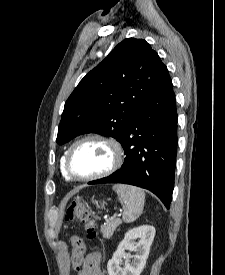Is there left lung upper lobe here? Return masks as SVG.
<instances>
[{
  "label": "left lung upper lobe",
  "mask_w": 225,
  "mask_h": 275,
  "mask_svg": "<svg viewBox=\"0 0 225 275\" xmlns=\"http://www.w3.org/2000/svg\"><path fill=\"white\" fill-rule=\"evenodd\" d=\"M168 77L166 65L145 40H123L67 99L57 143L91 132L121 143L132 120Z\"/></svg>",
  "instance_id": "5c2ea615"
}]
</instances>
